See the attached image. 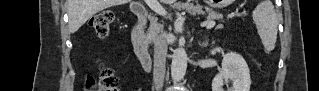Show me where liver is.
I'll return each mask as SVG.
<instances>
[{
	"mask_svg": "<svg viewBox=\"0 0 319 91\" xmlns=\"http://www.w3.org/2000/svg\"><path fill=\"white\" fill-rule=\"evenodd\" d=\"M172 4L175 0H162ZM130 0H68L69 28L76 32L89 18L112 6L126 4Z\"/></svg>",
	"mask_w": 319,
	"mask_h": 91,
	"instance_id": "1",
	"label": "liver"
}]
</instances>
